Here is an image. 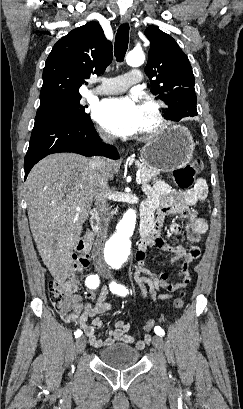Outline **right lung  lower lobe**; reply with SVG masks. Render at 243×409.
<instances>
[{
    "label": "right lung lower lobe",
    "mask_w": 243,
    "mask_h": 409,
    "mask_svg": "<svg viewBox=\"0 0 243 409\" xmlns=\"http://www.w3.org/2000/svg\"><path fill=\"white\" fill-rule=\"evenodd\" d=\"M73 152L84 156L102 155L118 159L115 147L102 144L91 120L74 123L68 119L36 117L24 160L25 179L31 168L52 153Z\"/></svg>",
    "instance_id": "right-lung-lower-lobe-1"
}]
</instances>
